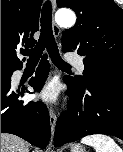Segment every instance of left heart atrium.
I'll return each instance as SVG.
<instances>
[{
	"label": "left heart atrium",
	"instance_id": "1",
	"mask_svg": "<svg viewBox=\"0 0 123 152\" xmlns=\"http://www.w3.org/2000/svg\"><path fill=\"white\" fill-rule=\"evenodd\" d=\"M58 95L59 92L56 84L51 82L42 88L38 97L44 102H56Z\"/></svg>",
	"mask_w": 123,
	"mask_h": 152
}]
</instances>
